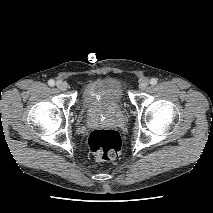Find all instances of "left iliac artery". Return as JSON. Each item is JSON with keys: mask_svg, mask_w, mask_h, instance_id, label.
Returning a JSON list of instances; mask_svg holds the SVG:
<instances>
[{"mask_svg": "<svg viewBox=\"0 0 213 213\" xmlns=\"http://www.w3.org/2000/svg\"><path fill=\"white\" fill-rule=\"evenodd\" d=\"M150 84H151V85H156V84H157V79H156V78H152V79L150 80Z\"/></svg>", "mask_w": 213, "mask_h": 213, "instance_id": "obj_1", "label": "left iliac artery"}]
</instances>
